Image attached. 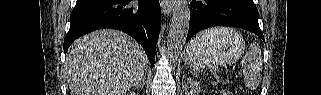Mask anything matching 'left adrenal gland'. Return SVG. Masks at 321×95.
Wrapping results in <instances>:
<instances>
[{
    "instance_id": "obj_1",
    "label": "left adrenal gland",
    "mask_w": 321,
    "mask_h": 95,
    "mask_svg": "<svg viewBox=\"0 0 321 95\" xmlns=\"http://www.w3.org/2000/svg\"><path fill=\"white\" fill-rule=\"evenodd\" d=\"M183 89H184V91H186V89H187L186 81H184V83H183Z\"/></svg>"
}]
</instances>
